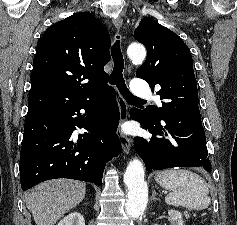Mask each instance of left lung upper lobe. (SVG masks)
Masks as SVG:
<instances>
[{"mask_svg": "<svg viewBox=\"0 0 237 225\" xmlns=\"http://www.w3.org/2000/svg\"><path fill=\"white\" fill-rule=\"evenodd\" d=\"M135 39L147 49V58L136 76L157 87L162 107L144 109L151 119L198 105L197 82L190 51L182 39L152 18H143L134 31Z\"/></svg>", "mask_w": 237, "mask_h": 225, "instance_id": "1", "label": "left lung upper lobe"}]
</instances>
